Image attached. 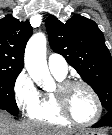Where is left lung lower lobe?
<instances>
[{"label": "left lung lower lobe", "mask_w": 112, "mask_h": 135, "mask_svg": "<svg viewBox=\"0 0 112 135\" xmlns=\"http://www.w3.org/2000/svg\"><path fill=\"white\" fill-rule=\"evenodd\" d=\"M103 126H112V111H108L105 116L97 122L93 127H103Z\"/></svg>", "instance_id": "obj_1"}]
</instances>
